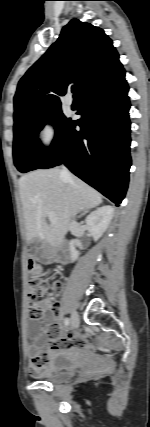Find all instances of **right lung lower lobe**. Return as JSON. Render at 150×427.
<instances>
[{"label": "right lung lower lobe", "mask_w": 150, "mask_h": 427, "mask_svg": "<svg viewBox=\"0 0 150 427\" xmlns=\"http://www.w3.org/2000/svg\"><path fill=\"white\" fill-rule=\"evenodd\" d=\"M122 65L79 95L82 117L70 120L38 168L64 163L116 206L123 200L131 166L130 102ZM81 127L80 131L75 126Z\"/></svg>", "instance_id": "98d812e1"}]
</instances>
